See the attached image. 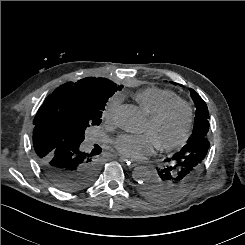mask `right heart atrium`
Segmentation results:
<instances>
[{"label":"right heart atrium","instance_id":"1","mask_svg":"<svg viewBox=\"0 0 245 245\" xmlns=\"http://www.w3.org/2000/svg\"><path fill=\"white\" fill-rule=\"evenodd\" d=\"M119 103H120V99L118 97L110 98L106 103L104 109V116L108 119H112L119 106Z\"/></svg>","mask_w":245,"mask_h":245}]
</instances>
